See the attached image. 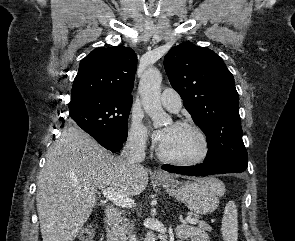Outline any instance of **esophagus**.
<instances>
[{
  "mask_svg": "<svg viewBox=\"0 0 295 241\" xmlns=\"http://www.w3.org/2000/svg\"><path fill=\"white\" fill-rule=\"evenodd\" d=\"M153 176L159 179H170V177L167 174L163 173L160 170H155L153 172Z\"/></svg>",
  "mask_w": 295,
  "mask_h": 241,
  "instance_id": "1",
  "label": "esophagus"
}]
</instances>
